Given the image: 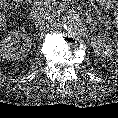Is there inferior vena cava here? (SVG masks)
Masks as SVG:
<instances>
[{
	"instance_id": "602c4592",
	"label": "inferior vena cava",
	"mask_w": 118,
	"mask_h": 118,
	"mask_svg": "<svg viewBox=\"0 0 118 118\" xmlns=\"http://www.w3.org/2000/svg\"><path fill=\"white\" fill-rule=\"evenodd\" d=\"M49 22H51V18L49 16H47V15H42L41 17H39L36 20L35 26H36V28H43Z\"/></svg>"
}]
</instances>
